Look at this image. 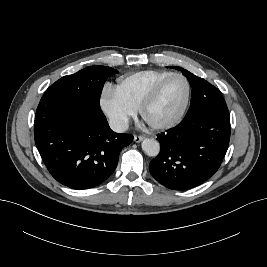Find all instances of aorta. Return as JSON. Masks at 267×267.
<instances>
[{
	"label": "aorta",
	"instance_id": "1",
	"mask_svg": "<svg viewBox=\"0 0 267 267\" xmlns=\"http://www.w3.org/2000/svg\"><path fill=\"white\" fill-rule=\"evenodd\" d=\"M142 150L150 157H155L159 154L160 145L157 140L153 138H146L142 141Z\"/></svg>",
	"mask_w": 267,
	"mask_h": 267
}]
</instances>
